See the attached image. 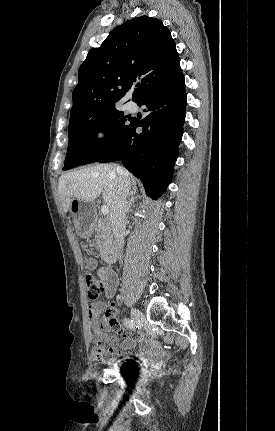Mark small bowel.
Returning <instances> with one entry per match:
<instances>
[{
	"instance_id": "small-bowel-1",
	"label": "small bowel",
	"mask_w": 275,
	"mask_h": 431,
	"mask_svg": "<svg viewBox=\"0 0 275 431\" xmlns=\"http://www.w3.org/2000/svg\"><path fill=\"white\" fill-rule=\"evenodd\" d=\"M91 264V261L89 262ZM99 277L104 282L105 296L112 298L116 292L118 279L114 272L108 269H100ZM105 305L94 303L89 307V324L91 328V341L94 344L92 358L97 362H113L125 353L133 352L136 348V356L141 361L147 362L153 359L155 364H160L166 356L159 344L150 340L145 335H134L126 332L118 323L117 311L111 308L103 315ZM115 330L114 333H111Z\"/></svg>"
}]
</instances>
